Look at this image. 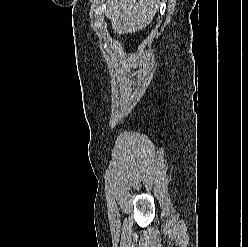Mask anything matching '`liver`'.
<instances>
[{"label": "liver", "instance_id": "liver-1", "mask_svg": "<svg viewBox=\"0 0 248 247\" xmlns=\"http://www.w3.org/2000/svg\"><path fill=\"white\" fill-rule=\"evenodd\" d=\"M106 17L118 35L135 33L151 23L158 0H107Z\"/></svg>", "mask_w": 248, "mask_h": 247}]
</instances>
